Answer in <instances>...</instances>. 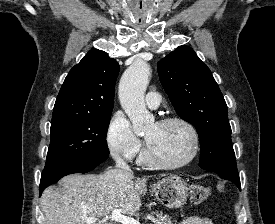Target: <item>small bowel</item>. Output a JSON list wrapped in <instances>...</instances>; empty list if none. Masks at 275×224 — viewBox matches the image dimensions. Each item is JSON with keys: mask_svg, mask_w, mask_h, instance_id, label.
I'll list each match as a JSON object with an SVG mask.
<instances>
[{"mask_svg": "<svg viewBox=\"0 0 275 224\" xmlns=\"http://www.w3.org/2000/svg\"><path fill=\"white\" fill-rule=\"evenodd\" d=\"M179 224H213L209 218L191 216L183 219Z\"/></svg>", "mask_w": 275, "mask_h": 224, "instance_id": "c3829d8e", "label": "small bowel"}]
</instances>
